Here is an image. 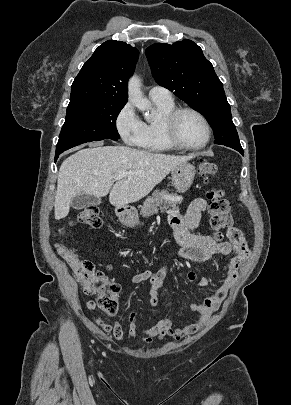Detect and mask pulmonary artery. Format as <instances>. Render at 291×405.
<instances>
[{
  "label": "pulmonary artery",
  "mask_w": 291,
  "mask_h": 405,
  "mask_svg": "<svg viewBox=\"0 0 291 405\" xmlns=\"http://www.w3.org/2000/svg\"><path fill=\"white\" fill-rule=\"evenodd\" d=\"M149 97L153 101H171V92L165 87L155 85L149 90Z\"/></svg>",
  "instance_id": "1"
}]
</instances>
